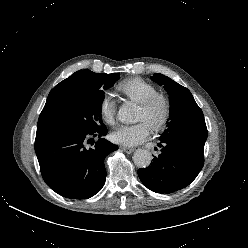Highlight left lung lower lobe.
<instances>
[{"instance_id": "obj_1", "label": "left lung lower lobe", "mask_w": 248, "mask_h": 248, "mask_svg": "<svg viewBox=\"0 0 248 248\" xmlns=\"http://www.w3.org/2000/svg\"><path fill=\"white\" fill-rule=\"evenodd\" d=\"M161 154L151 166L139 169L142 183L156 193H172L185 188L204 165V146L183 138H170L158 144Z\"/></svg>"}]
</instances>
